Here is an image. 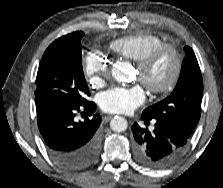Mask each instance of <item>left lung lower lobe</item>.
I'll list each match as a JSON object with an SVG mask.
<instances>
[{"instance_id": "1", "label": "left lung lower lobe", "mask_w": 223, "mask_h": 188, "mask_svg": "<svg viewBox=\"0 0 223 188\" xmlns=\"http://www.w3.org/2000/svg\"><path fill=\"white\" fill-rule=\"evenodd\" d=\"M141 118L149 122V119L143 116ZM131 129L135 139V158L152 168L166 167L177 161L189 140L179 131L159 121H156L153 132L141 128L137 123Z\"/></svg>"}]
</instances>
